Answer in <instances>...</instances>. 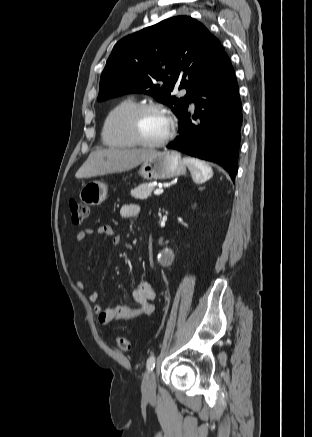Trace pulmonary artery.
Segmentation results:
<instances>
[{"label": "pulmonary artery", "mask_w": 312, "mask_h": 437, "mask_svg": "<svg viewBox=\"0 0 312 437\" xmlns=\"http://www.w3.org/2000/svg\"><path fill=\"white\" fill-rule=\"evenodd\" d=\"M186 92L185 91H182V94H185ZM193 104V103H192Z\"/></svg>", "instance_id": "e3ab8cb5"}]
</instances>
